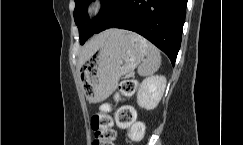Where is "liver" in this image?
I'll return each mask as SVG.
<instances>
[{
    "label": "liver",
    "mask_w": 243,
    "mask_h": 145,
    "mask_svg": "<svg viewBox=\"0 0 243 145\" xmlns=\"http://www.w3.org/2000/svg\"><path fill=\"white\" fill-rule=\"evenodd\" d=\"M109 31H105L91 40H89L82 48L79 55V65L81 66L91 55H93L103 44L106 37L109 35Z\"/></svg>",
    "instance_id": "1"
}]
</instances>
